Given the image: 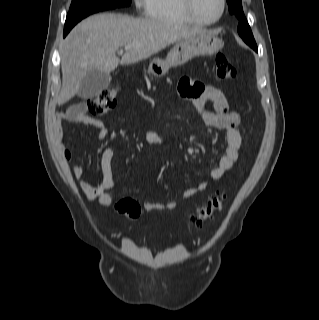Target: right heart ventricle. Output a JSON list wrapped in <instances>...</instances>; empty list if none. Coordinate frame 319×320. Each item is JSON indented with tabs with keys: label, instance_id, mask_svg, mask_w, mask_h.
Wrapping results in <instances>:
<instances>
[{
	"label": "right heart ventricle",
	"instance_id": "e07e8e85",
	"mask_svg": "<svg viewBox=\"0 0 319 320\" xmlns=\"http://www.w3.org/2000/svg\"><path fill=\"white\" fill-rule=\"evenodd\" d=\"M147 16L155 21L178 24H195L186 14L182 0H149Z\"/></svg>",
	"mask_w": 319,
	"mask_h": 320
}]
</instances>
